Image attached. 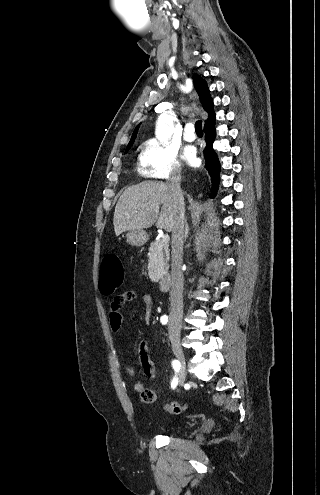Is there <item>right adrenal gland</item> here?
I'll list each match as a JSON object with an SVG mask.
<instances>
[{
  "mask_svg": "<svg viewBox=\"0 0 320 495\" xmlns=\"http://www.w3.org/2000/svg\"><path fill=\"white\" fill-rule=\"evenodd\" d=\"M189 225L187 220L185 219V232H184V239L186 240L188 238V233H189Z\"/></svg>",
  "mask_w": 320,
  "mask_h": 495,
  "instance_id": "obj_1",
  "label": "right adrenal gland"
}]
</instances>
